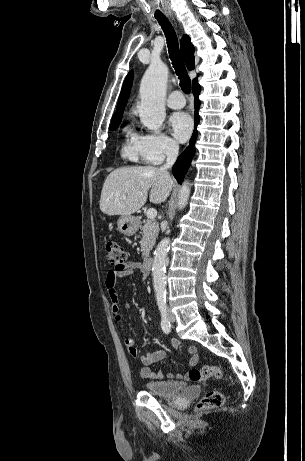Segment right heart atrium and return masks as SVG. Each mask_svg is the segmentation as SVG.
I'll list each match as a JSON object with an SVG mask.
<instances>
[{
  "mask_svg": "<svg viewBox=\"0 0 305 461\" xmlns=\"http://www.w3.org/2000/svg\"><path fill=\"white\" fill-rule=\"evenodd\" d=\"M141 156L150 164H159L178 150L177 143L162 132H148L139 136Z\"/></svg>",
  "mask_w": 305,
  "mask_h": 461,
  "instance_id": "obj_1",
  "label": "right heart atrium"
}]
</instances>
